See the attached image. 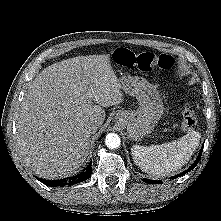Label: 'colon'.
<instances>
[{"label":"colon","mask_w":221,"mask_h":221,"mask_svg":"<svg viewBox=\"0 0 221 221\" xmlns=\"http://www.w3.org/2000/svg\"><path fill=\"white\" fill-rule=\"evenodd\" d=\"M115 61L128 68L148 72L154 68L171 69L174 60L171 56L165 54H155L152 52L136 53L127 48H118L114 52ZM197 126V117L191 104L187 103L182 109V127L185 130H192Z\"/></svg>","instance_id":"5ec220e1"}]
</instances>
